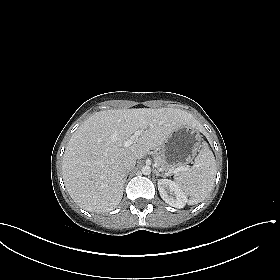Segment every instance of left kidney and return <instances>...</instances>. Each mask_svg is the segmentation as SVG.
Masks as SVG:
<instances>
[{
	"instance_id": "obj_1",
	"label": "left kidney",
	"mask_w": 280,
	"mask_h": 280,
	"mask_svg": "<svg viewBox=\"0 0 280 280\" xmlns=\"http://www.w3.org/2000/svg\"><path fill=\"white\" fill-rule=\"evenodd\" d=\"M158 190L161 198L170 206L175 208H183L187 202L185 193L172 180H158Z\"/></svg>"
}]
</instances>
